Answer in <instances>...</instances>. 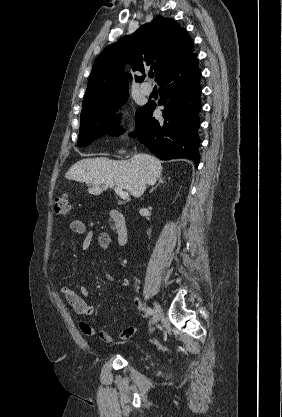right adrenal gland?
Segmentation results:
<instances>
[{
  "instance_id": "obj_1",
  "label": "right adrenal gland",
  "mask_w": 282,
  "mask_h": 417,
  "mask_svg": "<svg viewBox=\"0 0 282 417\" xmlns=\"http://www.w3.org/2000/svg\"><path fill=\"white\" fill-rule=\"evenodd\" d=\"M159 184H164L163 176H158L157 184H155V186H153V184H152V188H151V190H149V192H153V190H155V188H157V186H159Z\"/></svg>"
}]
</instances>
